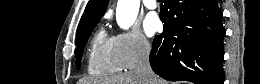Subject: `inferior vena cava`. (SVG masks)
<instances>
[{
  "mask_svg": "<svg viewBox=\"0 0 260 84\" xmlns=\"http://www.w3.org/2000/svg\"><path fill=\"white\" fill-rule=\"evenodd\" d=\"M150 48H141L134 72L143 78L144 84H157L149 62Z\"/></svg>",
  "mask_w": 260,
  "mask_h": 84,
  "instance_id": "inferior-vena-cava-1",
  "label": "inferior vena cava"
}]
</instances>
